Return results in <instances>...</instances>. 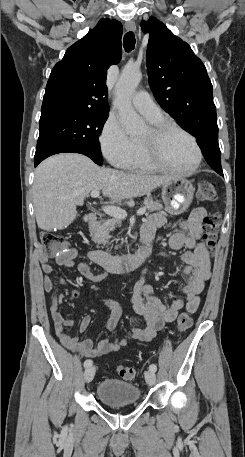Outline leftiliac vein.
Listing matches in <instances>:
<instances>
[{
  "label": "left iliac vein",
  "mask_w": 245,
  "mask_h": 457,
  "mask_svg": "<svg viewBox=\"0 0 245 457\" xmlns=\"http://www.w3.org/2000/svg\"><path fill=\"white\" fill-rule=\"evenodd\" d=\"M145 378L149 386H154L156 382V376L153 371H146L145 372Z\"/></svg>",
  "instance_id": "1"
}]
</instances>
